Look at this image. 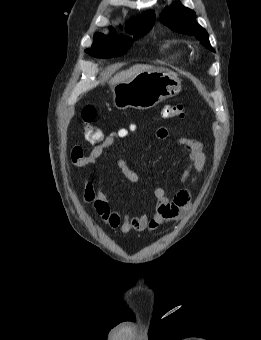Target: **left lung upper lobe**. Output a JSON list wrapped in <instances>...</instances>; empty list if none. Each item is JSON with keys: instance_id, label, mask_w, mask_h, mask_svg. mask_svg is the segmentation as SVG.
<instances>
[{"instance_id": "1", "label": "left lung upper lobe", "mask_w": 261, "mask_h": 340, "mask_svg": "<svg viewBox=\"0 0 261 340\" xmlns=\"http://www.w3.org/2000/svg\"><path fill=\"white\" fill-rule=\"evenodd\" d=\"M161 21L174 31L195 36L203 46L214 52L206 30L195 21V13L191 9L180 3L173 4L164 9Z\"/></svg>"}]
</instances>
